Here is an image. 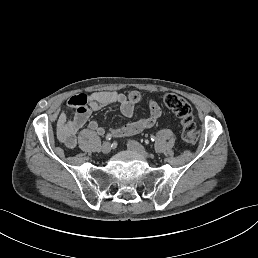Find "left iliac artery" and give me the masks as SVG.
I'll return each mask as SVG.
<instances>
[{
	"label": "left iliac artery",
	"instance_id": "left-iliac-artery-1",
	"mask_svg": "<svg viewBox=\"0 0 258 258\" xmlns=\"http://www.w3.org/2000/svg\"><path fill=\"white\" fill-rule=\"evenodd\" d=\"M155 139H156L155 136H151V137H150L151 142H154Z\"/></svg>",
	"mask_w": 258,
	"mask_h": 258
}]
</instances>
